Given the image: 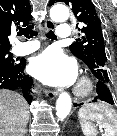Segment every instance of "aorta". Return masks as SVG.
Segmentation results:
<instances>
[{
	"mask_svg": "<svg viewBox=\"0 0 117 136\" xmlns=\"http://www.w3.org/2000/svg\"><path fill=\"white\" fill-rule=\"evenodd\" d=\"M50 17L56 22H64L69 18V9L64 5H55L50 10ZM72 106L71 97L63 92L59 95L56 102V115L63 120L70 113Z\"/></svg>",
	"mask_w": 117,
	"mask_h": 136,
	"instance_id": "obj_1",
	"label": "aorta"
}]
</instances>
